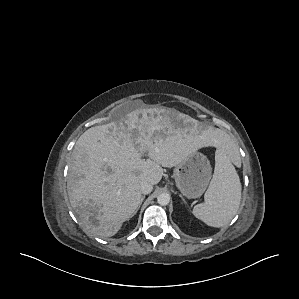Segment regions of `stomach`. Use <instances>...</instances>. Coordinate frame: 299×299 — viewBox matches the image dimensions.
Listing matches in <instances>:
<instances>
[{"mask_svg":"<svg viewBox=\"0 0 299 299\" xmlns=\"http://www.w3.org/2000/svg\"><path fill=\"white\" fill-rule=\"evenodd\" d=\"M212 168L206 156L194 153L174 169V178L181 193L191 199L200 197L211 179Z\"/></svg>","mask_w":299,"mask_h":299,"instance_id":"stomach-1","label":"stomach"}]
</instances>
